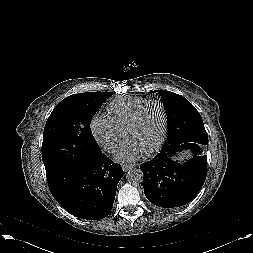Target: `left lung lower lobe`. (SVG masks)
Returning a JSON list of instances; mask_svg holds the SVG:
<instances>
[{"label":"left lung lower lobe","instance_id":"0a47b994","mask_svg":"<svg viewBox=\"0 0 253 253\" xmlns=\"http://www.w3.org/2000/svg\"><path fill=\"white\" fill-rule=\"evenodd\" d=\"M187 151L192 158L181 163L175 159ZM144 177V193L155 206L172 209L192 201L202 188L207 175L205 146L184 142L162 147L151 160L140 165Z\"/></svg>","mask_w":253,"mask_h":253}]
</instances>
